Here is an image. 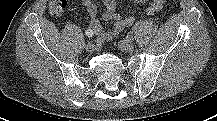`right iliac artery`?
<instances>
[{
	"instance_id": "right-iliac-artery-1",
	"label": "right iliac artery",
	"mask_w": 217,
	"mask_h": 121,
	"mask_svg": "<svg viewBox=\"0 0 217 121\" xmlns=\"http://www.w3.org/2000/svg\"><path fill=\"white\" fill-rule=\"evenodd\" d=\"M94 42H95L96 44H98V45H99V43H100L99 39H95Z\"/></svg>"
}]
</instances>
